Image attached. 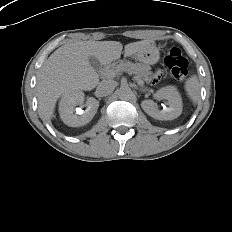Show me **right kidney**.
<instances>
[{
  "instance_id": "ca27d5eb",
  "label": "right kidney",
  "mask_w": 232,
  "mask_h": 232,
  "mask_svg": "<svg viewBox=\"0 0 232 232\" xmlns=\"http://www.w3.org/2000/svg\"><path fill=\"white\" fill-rule=\"evenodd\" d=\"M84 104V93L81 91H73L63 94L59 102V113L62 121L70 127H79L89 123L97 112L99 102L90 97L87 99L84 106L86 110L83 111L81 108L76 106H83ZM76 111V113H74Z\"/></svg>"
}]
</instances>
